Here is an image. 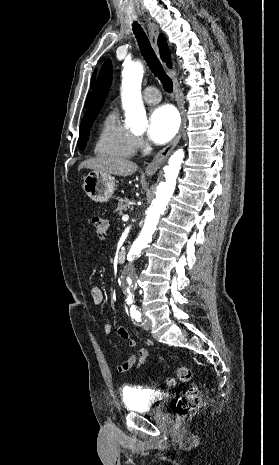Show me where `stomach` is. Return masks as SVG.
<instances>
[{"label":"stomach","instance_id":"1","mask_svg":"<svg viewBox=\"0 0 279 465\" xmlns=\"http://www.w3.org/2000/svg\"><path fill=\"white\" fill-rule=\"evenodd\" d=\"M83 190L94 202L108 201L114 193V177L108 174L92 171L83 179Z\"/></svg>","mask_w":279,"mask_h":465}]
</instances>
